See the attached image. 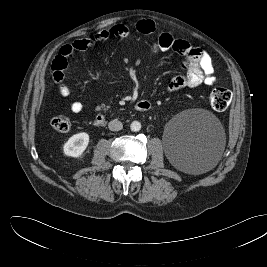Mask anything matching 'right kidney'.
Masks as SVG:
<instances>
[{
  "label": "right kidney",
  "instance_id": "obj_1",
  "mask_svg": "<svg viewBox=\"0 0 267 267\" xmlns=\"http://www.w3.org/2000/svg\"><path fill=\"white\" fill-rule=\"evenodd\" d=\"M89 143V135L85 132L73 135L63 146L66 156L79 157L83 154Z\"/></svg>",
  "mask_w": 267,
  "mask_h": 267
}]
</instances>
